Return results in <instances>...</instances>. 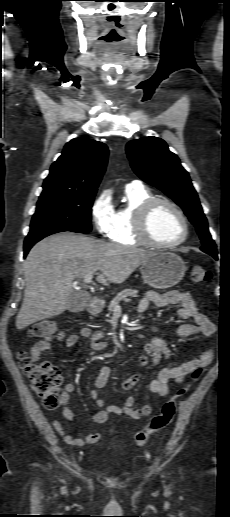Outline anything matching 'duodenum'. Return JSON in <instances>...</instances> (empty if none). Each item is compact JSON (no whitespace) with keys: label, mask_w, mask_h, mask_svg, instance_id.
I'll return each mask as SVG.
<instances>
[{"label":"duodenum","mask_w":230,"mask_h":517,"mask_svg":"<svg viewBox=\"0 0 230 517\" xmlns=\"http://www.w3.org/2000/svg\"><path fill=\"white\" fill-rule=\"evenodd\" d=\"M103 305L98 297H91L88 302L87 310L91 314H98L102 311Z\"/></svg>","instance_id":"obj_1"}]
</instances>
